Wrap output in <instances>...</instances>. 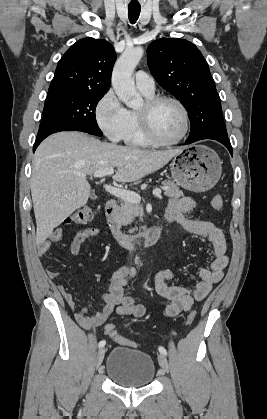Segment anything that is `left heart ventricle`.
Instances as JSON below:
<instances>
[{"label":"left heart ventricle","mask_w":267,"mask_h":419,"mask_svg":"<svg viewBox=\"0 0 267 419\" xmlns=\"http://www.w3.org/2000/svg\"><path fill=\"white\" fill-rule=\"evenodd\" d=\"M143 106L140 108L143 109ZM152 127L158 137L164 140L177 138L183 130L184 120L181 110L172 102L160 103L151 115Z\"/></svg>","instance_id":"b2bd125f"}]
</instances>
